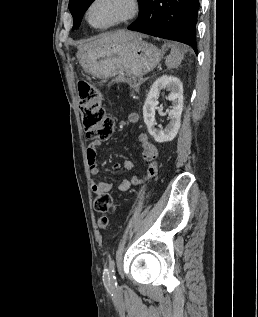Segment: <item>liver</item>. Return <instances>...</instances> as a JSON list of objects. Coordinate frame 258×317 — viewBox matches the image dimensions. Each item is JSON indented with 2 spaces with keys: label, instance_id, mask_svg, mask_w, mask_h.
<instances>
[{
  "label": "liver",
  "instance_id": "liver-1",
  "mask_svg": "<svg viewBox=\"0 0 258 317\" xmlns=\"http://www.w3.org/2000/svg\"><path fill=\"white\" fill-rule=\"evenodd\" d=\"M137 32H129V30H117V32H104L95 38H88L89 42H80L77 48H94L101 44H112V42H126L135 38Z\"/></svg>",
  "mask_w": 258,
  "mask_h": 317
}]
</instances>
